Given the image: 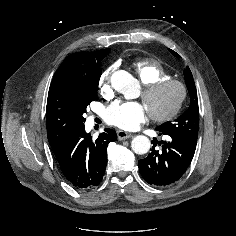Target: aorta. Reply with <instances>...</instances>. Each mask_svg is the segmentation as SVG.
<instances>
[{
  "instance_id": "1",
  "label": "aorta",
  "mask_w": 236,
  "mask_h": 236,
  "mask_svg": "<svg viewBox=\"0 0 236 236\" xmlns=\"http://www.w3.org/2000/svg\"><path fill=\"white\" fill-rule=\"evenodd\" d=\"M112 84L115 90L124 94L125 98L132 99L138 92L139 85L137 81L126 71H119L113 75ZM151 147L148 137L138 135L131 142L132 150L139 155L146 154Z\"/></svg>"
}]
</instances>
